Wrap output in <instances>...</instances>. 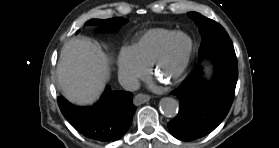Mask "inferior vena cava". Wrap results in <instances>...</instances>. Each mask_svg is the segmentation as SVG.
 <instances>
[{
  "instance_id": "1",
  "label": "inferior vena cava",
  "mask_w": 279,
  "mask_h": 148,
  "mask_svg": "<svg viewBox=\"0 0 279 148\" xmlns=\"http://www.w3.org/2000/svg\"><path fill=\"white\" fill-rule=\"evenodd\" d=\"M118 80L120 85L127 91H136L140 88V82L139 80L128 74H120L118 76Z\"/></svg>"
}]
</instances>
